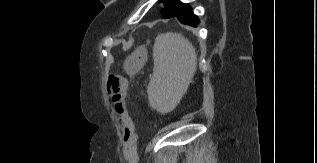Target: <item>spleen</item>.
Here are the masks:
<instances>
[{
    "label": "spleen",
    "instance_id": "spleen-1",
    "mask_svg": "<svg viewBox=\"0 0 317 163\" xmlns=\"http://www.w3.org/2000/svg\"><path fill=\"white\" fill-rule=\"evenodd\" d=\"M154 68L147 86L150 104L160 113L175 109L197 69V54L192 43L178 33L156 37L153 48Z\"/></svg>",
    "mask_w": 317,
    "mask_h": 163
}]
</instances>
